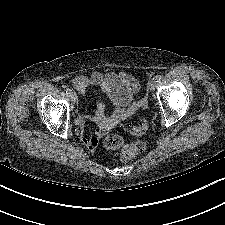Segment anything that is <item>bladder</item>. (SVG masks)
I'll use <instances>...</instances> for the list:
<instances>
[{"label": "bladder", "mask_w": 225, "mask_h": 225, "mask_svg": "<svg viewBox=\"0 0 225 225\" xmlns=\"http://www.w3.org/2000/svg\"><path fill=\"white\" fill-rule=\"evenodd\" d=\"M107 94L113 104L121 107H129L135 100L133 91L118 86L110 88Z\"/></svg>", "instance_id": "obj_1"}]
</instances>
